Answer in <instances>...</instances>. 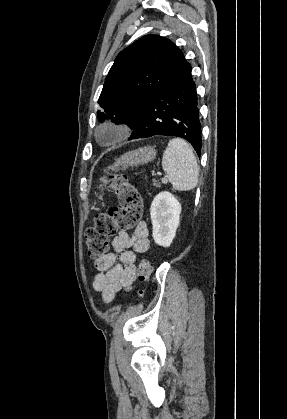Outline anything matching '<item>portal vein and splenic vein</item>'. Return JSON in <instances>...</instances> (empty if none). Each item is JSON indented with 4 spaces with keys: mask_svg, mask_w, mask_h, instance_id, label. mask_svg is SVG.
<instances>
[{
    "mask_svg": "<svg viewBox=\"0 0 287 419\" xmlns=\"http://www.w3.org/2000/svg\"><path fill=\"white\" fill-rule=\"evenodd\" d=\"M162 181H163L164 183H166V182H167V179H166V178H163V179H162Z\"/></svg>",
    "mask_w": 287,
    "mask_h": 419,
    "instance_id": "obj_1",
    "label": "portal vein and splenic vein"
}]
</instances>
